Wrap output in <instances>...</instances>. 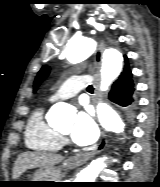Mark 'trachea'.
I'll list each match as a JSON object with an SVG mask.
<instances>
[{
    "instance_id": "trachea-1",
    "label": "trachea",
    "mask_w": 160,
    "mask_h": 187,
    "mask_svg": "<svg viewBox=\"0 0 160 187\" xmlns=\"http://www.w3.org/2000/svg\"><path fill=\"white\" fill-rule=\"evenodd\" d=\"M87 90L89 91V92H93V86L92 85H89L88 87H87Z\"/></svg>"
}]
</instances>
